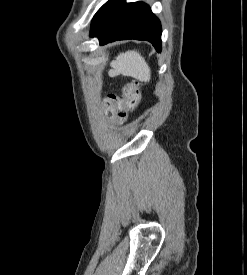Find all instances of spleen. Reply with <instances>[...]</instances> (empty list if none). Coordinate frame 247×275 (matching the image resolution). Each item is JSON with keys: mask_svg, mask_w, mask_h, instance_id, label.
<instances>
[{"mask_svg": "<svg viewBox=\"0 0 247 275\" xmlns=\"http://www.w3.org/2000/svg\"><path fill=\"white\" fill-rule=\"evenodd\" d=\"M112 69L111 76L122 74L133 77L141 82H149L151 70L145 59L135 50L120 53L115 60L110 63Z\"/></svg>", "mask_w": 247, "mask_h": 275, "instance_id": "3e777b00", "label": "spleen"}]
</instances>
